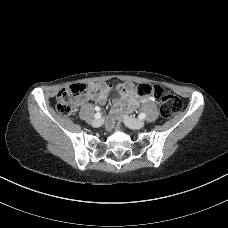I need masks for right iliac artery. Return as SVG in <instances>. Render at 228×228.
Segmentation results:
<instances>
[{"instance_id": "1", "label": "right iliac artery", "mask_w": 228, "mask_h": 228, "mask_svg": "<svg viewBox=\"0 0 228 228\" xmlns=\"http://www.w3.org/2000/svg\"><path fill=\"white\" fill-rule=\"evenodd\" d=\"M96 110L99 111L100 109L99 108H96ZM94 117H95V119H100L101 113L100 112H97Z\"/></svg>"}]
</instances>
